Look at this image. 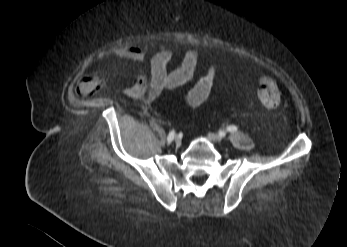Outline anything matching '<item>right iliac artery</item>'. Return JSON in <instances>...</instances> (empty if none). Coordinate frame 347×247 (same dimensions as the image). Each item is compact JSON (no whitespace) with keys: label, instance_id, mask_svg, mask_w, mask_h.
Here are the masks:
<instances>
[{"label":"right iliac artery","instance_id":"82829eb1","mask_svg":"<svg viewBox=\"0 0 347 247\" xmlns=\"http://www.w3.org/2000/svg\"><path fill=\"white\" fill-rule=\"evenodd\" d=\"M174 136H175V131L172 130L167 137L168 143L172 142V140L174 139Z\"/></svg>","mask_w":347,"mask_h":247}]
</instances>
